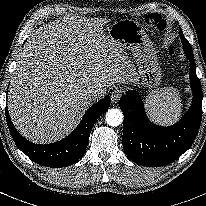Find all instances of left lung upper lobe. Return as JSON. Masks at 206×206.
<instances>
[{
    "instance_id": "obj_1",
    "label": "left lung upper lobe",
    "mask_w": 206,
    "mask_h": 206,
    "mask_svg": "<svg viewBox=\"0 0 206 206\" xmlns=\"http://www.w3.org/2000/svg\"><path fill=\"white\" fill-rule=\"evenodd\" d=\"M182 42L184 48H187L188 50L192 51L191 46L187 40H182Z\"/></svg>"
}]
</instances>
